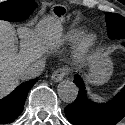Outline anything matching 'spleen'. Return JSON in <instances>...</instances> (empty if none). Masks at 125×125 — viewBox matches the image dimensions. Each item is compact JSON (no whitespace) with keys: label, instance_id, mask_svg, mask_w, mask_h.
Segmentation results:
<instances>
[{"label":"spleen","instance_id":"1","mask_svg":"<svg viewBox=\"0 0 125 125\" xmlns=\"http://www.w3.org/2000/svg\"><path fill=\"white\" fill-rule=\"evenodd\" d=\"M94 100H101L102 98L99 97L98 95L92 94L91 95Z\"/></svg>","mask_w":125,"mask_h":125}]
</instances>
